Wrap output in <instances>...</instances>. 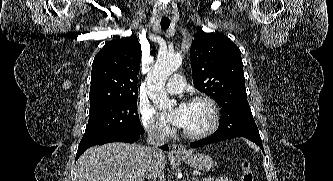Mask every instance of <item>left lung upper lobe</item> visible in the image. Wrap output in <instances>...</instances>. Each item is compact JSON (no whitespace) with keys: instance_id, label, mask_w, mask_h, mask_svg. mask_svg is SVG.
<instances>
[{"instance_id":"obj_1","label":"left lung upper lobe","mask_w":333,"mask_h":181,"mask_svg":"<svg viewBox=\"0 0 333 181\" xmlns=\"http://www.w3.org/2000/svg\"><path fill=\"white\" fill-rule=\"evenodd\" d=\"M191 67L195 88L221 107L220 120L234 121L230 133L261 139L247 101L239 48L223 34L198 29L191 44Z\"/></svg>"}]
</instances>
